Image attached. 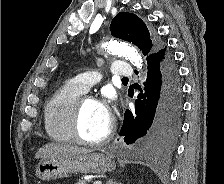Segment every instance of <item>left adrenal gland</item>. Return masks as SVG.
<instances>
[{"instance_id": "obj_1", "label": "left adrenal gland", "mask_w": 224, "mask_h": 184, "mask_svg": "<svg viewBox=\"0 0 224 184\" xmlns=\"http://www.w3.org/2000/svg\"><path fill=\"white\" fill-rule=\"evenodd\" d=\"M106 184H121V183H117L115 182L113 179H109Z\"/></svg>"}]
</instances>
